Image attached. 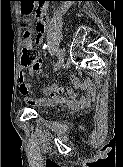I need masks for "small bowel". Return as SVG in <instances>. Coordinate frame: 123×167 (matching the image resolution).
Instances as JSON below:
<instances>
[{
	"label": "small bowel",
	"instance_id": "obj_1",
	"mask_svg": "<svg viewBox=\"0 0 123 167\" xmlns=\"http://www.w3.org/2000/svg\"><path fill=\"white\" fill-rule=\"evenodd\" d=\"M22 17H30L33 13V1H20ZM44 32V30H43ZM43 32L39 35L37 43L41 42ZM33 72L41 73L42 63L37 68H32ZM75 87L83 93L78 95L73 88L64 89L57 84H50L43 89L44 97L37 99L35 102L44 106H54L56 104H66L74 109L88 107L94 100L97 94L96 87L89 80L81 81L76 76L71 77ZM20 93L23 97H27L30 93V87L25 80V72L19 73Z\"/></svg>",
	"mask_w": 123,
	"mask_h": 167
}]
</instances>
